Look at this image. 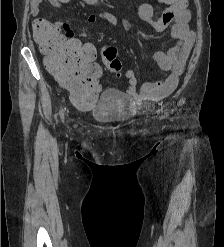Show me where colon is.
Wrapping results in <instances>:
<instances>
[{"label": "colon", "instance_id": "colon-1", "mask_svg": "<svg viewBox=\"0 0 224 247\" xmlns=\"http://www.w3.org/2000/svg\"><path fill=\"white\" fill-rule=\"evenodd\" d=\"M33 33L43 51L49 54L46 60L48 70L69 90L71 102L79 108L93 106L98 100V92L91 83L96 82L101 75V69L95 63L94 46L62 36L45 19L34 21ZM103 56L111 72L119 75L122 66L117 58L116 47L105 46Z\"/></svg>", "mask_w": 224, "mask_h": 247}]
</instances>
